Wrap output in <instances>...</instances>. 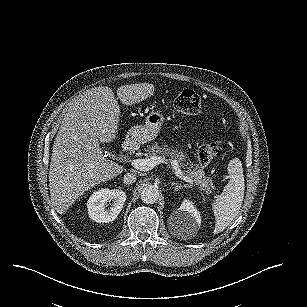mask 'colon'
I'll return each mask as SVG.
<instances>
[{
    "label": "colon",
    "mask_w": 307,
    "mask_h": 307,
    "mask_svg": "<svg viewBox=\"0 0 307 307\" xmlns=\"http://www.w3.org/2000/svg\"><path fill=\"white\" fill-rule=\"evenodd\" d=\"M173 105L176 110L185 114H197L201 110V98L191 89H184L173 99ZM225 139L217 138L213 142L201 144L197 151L198 160L202 164H209L224 148Z\"/></svg>",
    "instance_id": "colon-1"
}]
</instances>
